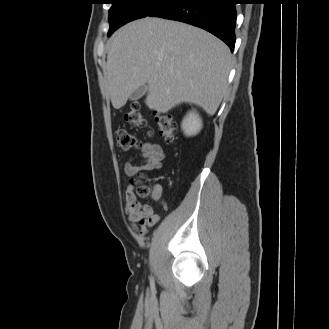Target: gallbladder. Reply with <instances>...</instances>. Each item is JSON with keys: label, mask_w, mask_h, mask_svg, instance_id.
Listing matches in <instances>:
<instances>
[{"label": "gallbladder", "mask_w": 329, "mask_h": 329, "mask_svg": "<svg viewBox=\"0 0 329 329\" xmlns=\"http://www.w3.org/2000/svg\"><path fill=\"white\" fill-rule=\"evenodd\" d=\"M148 91L147 85H141L135 91H133L130 95V100L136 101L140 99L146 92Z\"/></svg>", "instance_id": "gallbladder-1"}]
</instances>
